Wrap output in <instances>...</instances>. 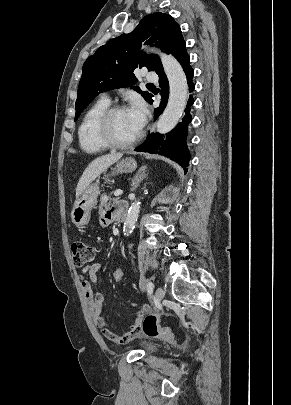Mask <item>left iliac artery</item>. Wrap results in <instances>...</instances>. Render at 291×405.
I'll return each instance as SVG.
<instances>
[{"label": "left iliac artery", "instance_id": "44dca946", "mask_svg": "<svg viewBox=\"0 0 291 405\" xmlns=\"http://www.w3.org/2000/svg\"><path fill=\"white\" fill-rule=\"evenodd\" d=\"M153 288H154L153 283H152V282H148V284H147V292H148L149 295L152 294Z\"/></svg>", "mask_w": 291, "mask_h": 405}]
</instances>
